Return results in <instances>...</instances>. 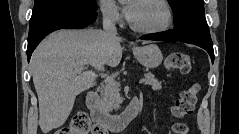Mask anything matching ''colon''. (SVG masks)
<instances>
[{
    "label": "colon",
    "mask_w": 239,
    "mask_h": 134,
    "mask_svg": "<svg viewBox=\"0 0 239 134\" xmlns=\"http://www.w3.org/2000/svg\"><path fill=\"white\" fill-rule=\"evenodd\" d=\"M165 67L169 71H179L188 73L191 70V61L184 53H173L165 60ZM199 88L196 85L184 90L175 101L170 110V114L175 119H181L191 115L194 111ZM175 134H187L188 126L181 122H174L171 126ZM105 129L92 122L88 114L84 111L73 115L70 124L60 128L55 134H105Z\"/></svg>",
    "instance_id": "1"
}]
</instances>
